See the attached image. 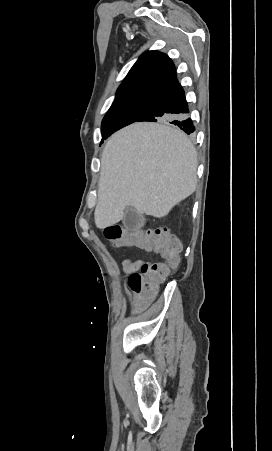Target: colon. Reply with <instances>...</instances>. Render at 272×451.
I'll use <instances>...</instances> for the list:
<instances>
[{"label": "colon", "mask_w": 272, "mask_h": 451, "mask_svg": "<svg viewBox=\"0 0 272 451\" xmlns=\"http://www.w3.org/2000/svg\"><path fill=\"white\" fill-rule=\"evenodd\" d=\"M103 237L114 247L119 244L121 249H131L133 244L137 249H149L151 256H162L167 262L130 261L125 265L128 269L139 265L138 270L129 274L128 289H138L139 303H150L153 300L154 289H161L165 277L174 271L177 253L182 249L179 240L169 234L167 229L156 230H126L123 226L113 224L103 229Z\"/></svg>", "instance_id": "5ec220e1"}]
</instances>
